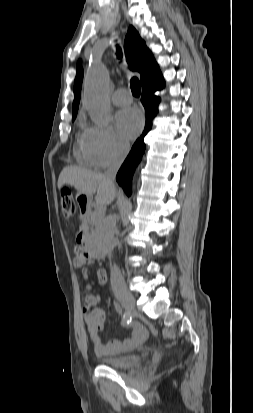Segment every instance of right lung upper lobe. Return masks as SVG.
<instances>
[{
	"instance_id": "obj_1",
	"label": "right lung upper lobe",
	"mask_w": 253,
	"mask_h": 413,
	"mask_svg": "<svg viewBox=\"0 0 253 413\" xmlns=\"http://www.w3.org/2000/svg\"><path fill=\"white\" fill-rule=\"evenodd\" d=\"M124 49L127 62L130 69L137 71L141 75V83L143 84L147 79L159 75V67L150 52L146 47L145 42L140 38L138 32L134 27L130 26L125 37ZM83 80V69L79 61L76 68V77L74 81V101L72 118L76 117L78 105L80 102V92Z\"/></svg>"
}]
</instances>
